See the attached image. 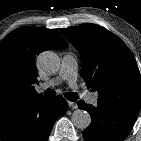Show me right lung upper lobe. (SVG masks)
I'll use <instances>...</instances> for the list:
<instances>
[{
  "label": "right lung upper lobe",
  "mask_w": 141,
  "mask_h": 141,
  "mask_svg": "<svg viewBox=\"0 0 141 141\" xmlns=\"http://www.w3.org/2000/svg\"><path fill=\"white\" fill-rule=\"evenodd\" d=\"M65 39L54 29L24 27L0 41V112L36 99V56L49 49H65ZM38 98H44L42 94Z\"/></svg>",
  "instance_id": "right-lung-upper-lobe-1"
}]
</instances>
